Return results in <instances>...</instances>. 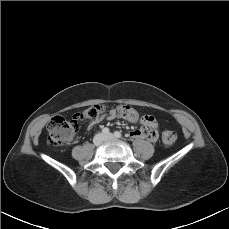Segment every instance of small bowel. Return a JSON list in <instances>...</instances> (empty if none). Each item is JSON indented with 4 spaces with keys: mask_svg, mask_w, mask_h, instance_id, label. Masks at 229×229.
Masks as SVG:
<instances>
[{
    "mask_svg": "<svg viewBox=\"0 0 229 229\" xmlns=\"http://www.w3.org/2000/svg\"><path fill=\"white\" fill-rule=\"evenodd\" d=\"M117 116V112L115 110H111L110 112L104 114L101 116L100 119L96 121H91L88 125V129H92L99 121L101 120H112ZM141 123L148 127V130H134L130 133V136L133 138H145L152 142H155L158 138V132H157V123L153 116L151 115H144L141 118Z\"/></svg>",
    "mask_w": 229,
    "mask_h": 229,
    "instance_id": "small-bowel-1",
    "label": "small bowel"
}]
</instances>
